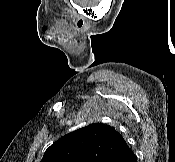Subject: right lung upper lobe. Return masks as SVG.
<instances>
[{"instance_id": "cb5924a9", "label": "right lung upper lobe", "mask_w": 175, "mask_h": 162, "mask_svg": "<svg viewBox=\"0 0 175 162\" xmlns=\"http://www.w3.org/2000/svg\"><path fill=\"white\" fill-rule=\"evenodd\" d=\"M129 151L131 149L114 127L93 123L54 142L41 162H114Z\"/></svg>"}]
</instances>
